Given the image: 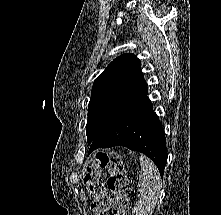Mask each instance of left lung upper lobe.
Returning a JSON list of instances; mask_svg holds the SVG:
<instances>
[{
    "label": "left lung upper lobe",
    "mask_w": 221,
    "mask_h": 215,
    "mask_svg": "<svg viewBox=\"0 0 221 215\" xmlns=\"http://www.w3.org/2000/svg\"><path fill=\"white\" fill-rule=\"evenodd\" d=\"M140 68V60L137 57L124 54L114 59L95 80L88 105V142H92L122 113L147 94Z\"/></svg>",
    "instance_id": "left-lung-upper-lobe-1"
}]
</instances>
